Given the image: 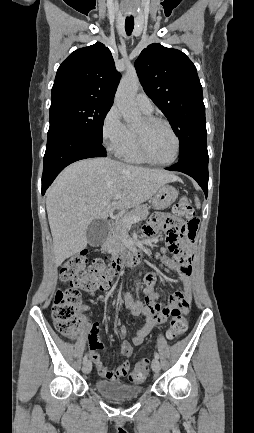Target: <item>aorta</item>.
I'll use <instances>...</instances> for the list:
<instances>
[{"instance_id":"aorta-1","label":"aorta","mask_w":254,"mask_h":433,"mask_svg":"<svg viewBox=\"0 0 254 433\" xmlns=\"http://www.w3.org/2000/svg\"><path fill=\"white\" fill-rule=\"evenodd\" d=\"M135 72H129L122 78L115 96V103L128 125H136L141 120V113L135 106L134 98L139 87Z\"/></svg>"}]
</instances>
